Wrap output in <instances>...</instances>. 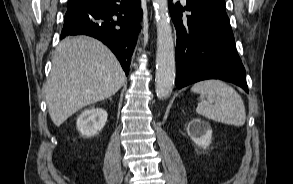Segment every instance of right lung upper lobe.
Instances as JSON below:
<instances>
[{
	"label": "right lung upper lobe",
	"mask_w": 293,
	"mask_h": 184,
	"mask_svg": "<svg viewBox=\"0 0 293 184\" xmlns=\"http://www.w3.org/2000/svg\"><path fill=\"white\" fill-rule=\"evenodd\" d=\"M83 1H86V0H69L68 5H67V9L75 7V6L79 5L80 3H82Z\"/></svg>",
	"instance_id": "cb5924a9"
}]
</instances>
